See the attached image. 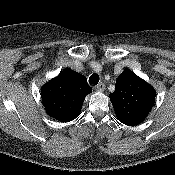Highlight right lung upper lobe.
<instances>
[{
    "instance_id": "1",
    "label": "right lung upper lobe",
    "mask_w": 175,
    "mask_h": 175,
    "mask_svg": "<svg viewBox=\"0 0 175 175\" xmlns=\"http://www.w3.org/2000/svg\"><path fill=\"white\" fill-rule=\"evenodd\" d=\"M92 91L80 73L65 69L42 87L41 97L49 116L69 122L80 115L85 96Z\"/></svg>"
}]
</instances>
